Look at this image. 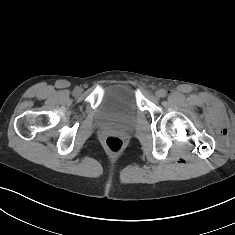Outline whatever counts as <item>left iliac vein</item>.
<instances>
[{"instance_id":"left-iliac-vein-1","label":"left iliac vein","mask_w":235,"mask_h":235,"mask_svg":"<svg viewBox=\"0 0 235 235\" xmlns=\"http://www.w3.org/2000/svg\"><path fill=\"white\" fill-rule=\"evenodd\" d=\"M162 91H163L162 89L157 90V91L155 92L156 97H158V98L162 97Z\"/></svg>"}]
</instances>
